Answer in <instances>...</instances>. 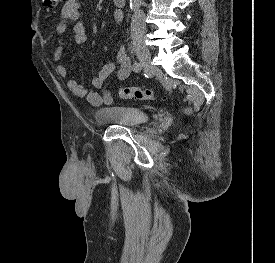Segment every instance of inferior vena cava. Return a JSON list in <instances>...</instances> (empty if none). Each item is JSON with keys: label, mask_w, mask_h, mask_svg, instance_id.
Wrapping results in <instances>:
<instances>
[{"label": "inferior vena cava", "mask_w": 275, "mask_h": 263, "mask_svg": "<svg viewBox=\"0 0 275 263\" xmlns=\"http://www.w3.org/2000/svg\"><path fill=\"white\" fill-rule=\"evenodd\" d=\"M145 29V14L142 10L137 9L132 16L131 32L132 34L144 33Z\"/></svg>", "instance_id": "602c4592"}]
</instances>
